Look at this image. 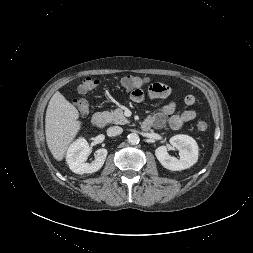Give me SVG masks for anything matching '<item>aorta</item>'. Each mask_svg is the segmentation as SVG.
<instances>
[{
    "label": "aorta",
    "mask_w": 253,
    "mask_h": 253,
    "mask_svg": "<svg viewBox=\"0 0 253 253\" xmlns=\"http://www.w3.org/2000/svg\"><path fill=\"white\" fill-rule=\"evenodd\" d=\"M128 143L131 145H136L139 143L140 139H139V135L136 133H131L128 135L127 137Z\"/></svg>",
    "instance_id": "762f6f07"
}]
</instances>
